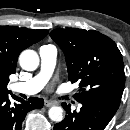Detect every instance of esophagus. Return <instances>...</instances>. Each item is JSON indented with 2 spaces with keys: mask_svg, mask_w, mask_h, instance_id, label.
<instances>
[{
  "mask_svg": "<svg viewBox=\"0 0 130 130\" xmlns=\"http://www.w3.org/2000/svg\"><path fill=\"white\" fill-rule=\"evenodd\" d=\"M57 104H58V102L57 101H53V100H45V102H44V105L46 107H51V106L57 105Z\"/></svg>",
  "mask_w": 130,
  "mask_h": 130,
  "instance_id": "34e87169",
  "label": "esophagus"
}]
</instances>
